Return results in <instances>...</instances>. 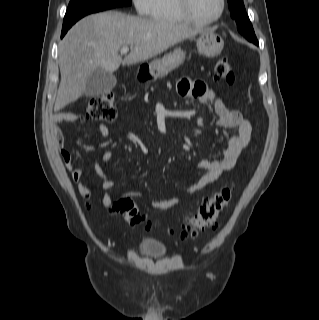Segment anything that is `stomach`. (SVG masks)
Wrapping results in <instances>:
<instances>
[{"mask_svg":"<svg viewBox=\"0 0 319 320\" xmlns=\"http://www.w3.org/2000/svg\"><path fill=\"white\" fill-rule=\"evenodd\" d=\"M198 53L206 57L218 56L224 47L222 37L213 30H205L199 33L196 39ZM185 60V52L176 48L167 53L162 59H155L148 63V74L154 80L164 78L169 72L178 68Z\"/></svg>","mask_w":319,"mask_h":320,"instance_id":"obj_1","label":"stomach"}]
</instances>
